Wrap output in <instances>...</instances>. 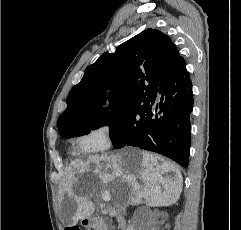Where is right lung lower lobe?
<instances>
[{
  "label": "right lung lower lobe",
  "instance_id": "obj_1",
  "mask_svg": "<svg viewBox=\"0 0 241 230\" xmlns=\"http://www.w3.org/2000/svg\"><path fill=\"white\" fill-rule=\"evenodd\" d=\"M193 92L184 59L162 78L147 109L148 122L115 148L126 145L165 155L187 167L190 152Z\"/></svg>",
  "mask_w": 241,
  "mask_h": 230
}]
</instances>
